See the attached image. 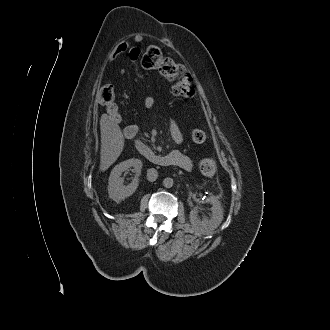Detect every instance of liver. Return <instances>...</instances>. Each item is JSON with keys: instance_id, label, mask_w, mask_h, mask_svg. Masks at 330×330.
<instances>
[{"instance_id": "1", "label": "liver", "mask_w": 330, "mask_h": 330, "mask_svg": "<svg viewBox=\"0 0 330 330\" xmlns=\"http://www.w3.org/2000/svg\"><path fill=\"white\" fill-rule=\"evenodd\" d=\"M100 130V170L105 171L120 156L124 147V137L119 125L106 114L101 116Z\"/></svg>"}]
</instances>
